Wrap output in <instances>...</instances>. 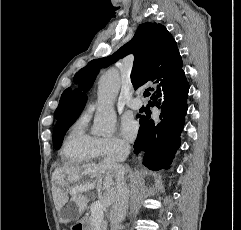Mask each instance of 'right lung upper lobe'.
Listing matches in <instances>:
<instances>
[{
    "mask_svg": "<svg viewBox=\"0 0 241 230\" xmlns=\"http://www.w3.org/2000/svg\"><path fill=\"white\" fill-rule=\"evenodd\" d=\"M130 53L135 56L131 73V82L134 89H138L143 85L156 86L166 76L182 66V58L178 52L176 41L166 27L161 24L147 22L141 24L131 41L113 55L92 60L79 70L74 76L75 83L91 71L107 67ZM70 93L71 88L63 92L60 104L55 111L56 118L61 116Z\"/></svg>",
    "mask_w": 241,
    "mask_h": 230,
    "instance_id": "1",
    "label": "right lung upper lobe"
}]
</instances>
